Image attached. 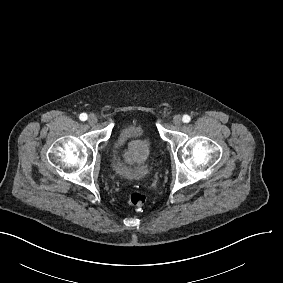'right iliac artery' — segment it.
Listing matches in <instances>:
<instances>
[{"label":"right iliac artery","instance_id":"82829eb1","mask_svg":"<svg viewBox=\"0 0 283 283\" xmlns=\"http://www.w3.org/2000/svg\"><path fill=\"white\" fill-rule=\"evenodd\" d=\"M79 118H80L81 121H85V120H87V114L82 113V114H80Z\"/></svg>","mask_w":283,"mask_h":283}]
</instances>
